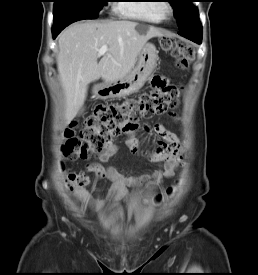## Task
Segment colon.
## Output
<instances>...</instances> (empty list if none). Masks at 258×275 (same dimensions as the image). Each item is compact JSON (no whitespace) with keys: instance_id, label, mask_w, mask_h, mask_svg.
<instances>
[{"instance_id":"5ec220e1","label":"colon","mask_w":258,"mask_h":275,"mask_svg":"<svg viewBox=\"0 0 258 275\" xmlns=\"http://www.w3.org/2000/svg\"><path fill=\"white\" fill-rule=\"evenodd\" d=\"M160 46L163 51L172 54L179 68L186 69L194 59L193 48L173 36H162ZM151 84V91L136 98L122 103L97 106L78 132L73 128L68 129L64 134L62 146L64 156L70 160L85 159L90 153L102 151L113 137L135 130L141 119L169 113L178 105L180 88L168 85L160 77L152 78ZM66 181L73 192L87 183V177L82 173L70 172ZM174 190L175 186H170L157 200L171 196Z\"/></svg>"}]
</instances>
